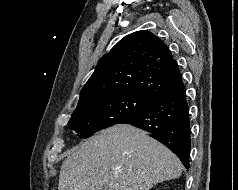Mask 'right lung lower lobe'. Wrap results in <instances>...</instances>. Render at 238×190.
<instances>
[{"label": "right lung lower lobe", "mask_w": 238, "mask_h": 190, "mask_svg": "<svg viewBox=\"0 0 238 190\" xmlns=\"http://www.w3.org/2000/svg\"><path fill=\"white\" fill-rule=\"evenodd\" d=\"M153 134L159 142L171 149L189 168L191 129L186 89L182 79L146 108L122 120Z\"/></svg>", "instance_id": "obj_1"}]
</instances>
